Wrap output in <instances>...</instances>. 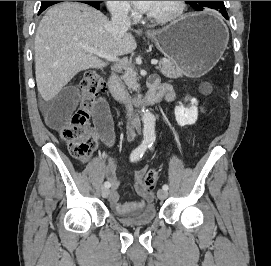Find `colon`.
<instances>
[{
    "mask_svg": "<svg viewBox=\"0 0 271 266\" xmlns=\"http://www.w3.org/2000/svg\"><path fill=\"white\" fill-rule=\"evenodd\" d=\"M79 87L82 94L81 102L62 131L71 155L76 158L87 156L96 147V138L88 127V121L101 98L103 80L96 72L89 71L80 81ZM157 181V171L150 169L142 179L141 186L152 191Z\"/></svg>",
    "mask_w": 271,
    "mask_h": 266,
    "instance_id": "5ec220e1",
    "label": "colon"
}]
</instances>
